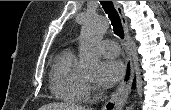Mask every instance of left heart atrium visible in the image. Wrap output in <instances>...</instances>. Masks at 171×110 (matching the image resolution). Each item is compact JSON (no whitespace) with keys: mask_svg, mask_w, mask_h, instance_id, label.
<instances>
[{"mask_svg":"<svg viewBox=\"0 0 171 110\" xmlns=\"http://www.w3.org/2000/svg\"><path fill=\"white\" fill-rule=\"evenodd\" d=\"M124 72L125 67L120 60H104L99 65L97 81L102 86L110 87L121 79Z\"/></svg>","mask_w":171,"mask_h":110,"instance_id":"39dd6f15","label":"left heart atrium"}]
</instances>
